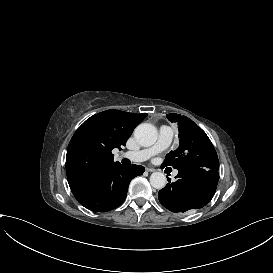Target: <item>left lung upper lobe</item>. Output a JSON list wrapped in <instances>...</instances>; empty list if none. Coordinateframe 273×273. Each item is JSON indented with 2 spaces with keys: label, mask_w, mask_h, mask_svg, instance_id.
Listing matches in <instances>:
<instances>
[{
  "label": "left lung upper lobe",
  "mask_w": 273,
  "mask_h": 273,
  "mask_svg": "<svg viewBox=\"0 0 273 273\" xmlns=\"http://www.w3.org/2000/svg\"><path fill=\"white\" fill-rule=\"evenodd\" d=\"M169 121L179 126L180 145L165 157L163 166L175 169L204 168L218 171L219 160L207 134L195 122L176 113L167 114Z\"/></svg>",
  "instance_id": "5c2ea615"
}]
</instances>
